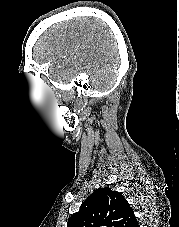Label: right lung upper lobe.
I'll return each mask as SVG.
<instances>
[{
  "label": "right lung upper lobe",
  "instance_id": "cb5924a9",
  "mask_svg": "<svg viewBox=\"0 0 179 227\" xmlns=\"http://www.w3.org/2000/svg\"><path fill=\"white\" fill-rule=\"evenodd\" d=\"M133 209L109 187L96 189L68 220L67 227H135Z\"/></svg>",
  "mask_w": 179,
  "mask_h": 227
}]
</instances>
